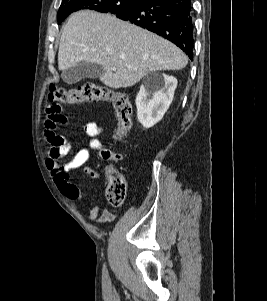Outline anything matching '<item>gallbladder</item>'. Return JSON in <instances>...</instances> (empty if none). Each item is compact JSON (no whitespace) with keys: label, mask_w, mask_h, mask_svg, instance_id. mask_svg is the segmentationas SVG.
<instances>
[{"label":"gallbladder","mask_w":267,"mask_h":301,"mask_svg":"<svg viewBox=\"0 0 267 301\" xmlns=\"http://www.w3.org/2000/svg\"><path fill=\"white\" fill-rule=\"evenodd\" d=\"M104 72L103 66L96 63L81 62L62 72V79L65 83L73 85L82 79H96Z\"/></svg>","instance_id":"gallbladder-1"}]
</instances>
